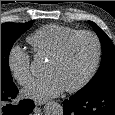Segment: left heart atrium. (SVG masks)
Wrapping results in <instances>:
<instances>
[{"label": "left heart atrium", "instance_id": "left-heart-atrium-1", "mask_svg": "<svg viewBox=\"0 0 115 115\" xmlns=\"http://www.w3.org/2000/svg\"><path fill=\"white\" fill-rule=\"evenodd\" d=\"M65 90L64 85L54 75L46 76L34 80L24 91L26 97L35 100H44L58 96Z\"/></svg>", "mask_w": 115, "mask_h": 115}]
</instances>
